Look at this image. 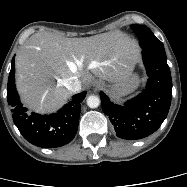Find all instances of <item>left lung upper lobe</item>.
<instances>
[{
  "label": "left lung upper lobe",
  "instance_id": "1",
  "mask_svg": "<svg viewBox=\"0 0 187 187\" xmlns=\"http://www.w3.org/2000/svg\"><path fill=\"white\" fill-rule=\"evenodd\" d=\"M136 32L140 45L144 50L165 53L163 43L156 38L152 31L143 25H131Z\"/></svg>",
  "mask_w": 187,
  "mask_h": 187
}]
</instances>
